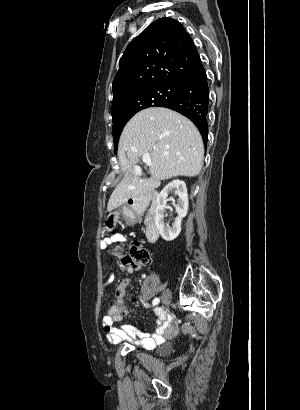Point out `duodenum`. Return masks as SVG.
Wrapping results in <instances>:
<instances>
[{
  "label": "duodenum",
  "instance_id": "1",
  "mask_svg": "<svg viewBox=\"0 0 300 410\" xmlns=\"http://www.w3.org/2000/svg\"><path fill=\"white\" fill-rule=\"evenodd\" d=\"M157 194L153 193L145 198H134L131 202L134 215L145 214V238L149 243H154L159 237L156 222ZM131 222H136L133 215L128 216Z\"/></svg>",
  "mask_w": 300,
  "mask_h": 410
}]
</instances>
